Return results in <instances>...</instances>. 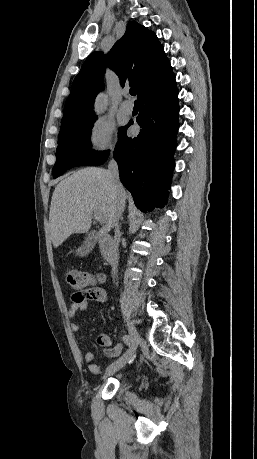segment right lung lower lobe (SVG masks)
<instances>
[{"label": "right lung lower lobe", "instance_id": "right-lung-lower-lobe-1", "mask_svg": "<svg viewBox=\"0 0 257 459\" xmlns=\"http://www.w3.org/2000/svg\"><path fill=\"white\" fill-rule=\"evenodd\" d=\"M136 119L142 127L136 138H128L122 128L114 150L122 184L131 192L143 212L166 204L174 169L173 153L178 131V90L174 74L155 84L139 98ZM109 155V153H108ZM108 155L91 166L103 164Z\"/></svg>", "mask_w": 257, "mask_h": 459}]
</instances>
